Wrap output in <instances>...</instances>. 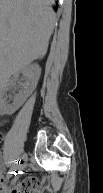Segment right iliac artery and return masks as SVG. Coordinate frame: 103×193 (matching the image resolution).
<instances>
[{"instance_id": "82829eb1", "label": "right iliac artery", "mask_w": 103, "mask_h": 193, "mask_svg": "<svg viewBox=\"0 0 103 193\" xmlns=\"http://www.w3.org/2000/svg\"><path fill=\"white\" fill-rule=\"evenodd\" d=\"M19 162H20V158L16 159V160L13 162L10 170H9L8 173H7V177H8V178H10V177L12 176V174H15V172H16V170H17V168H18V163H19Z\"/></svg>"}]
</instances>
